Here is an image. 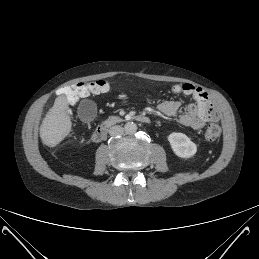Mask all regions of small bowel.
<instances>
[{
  "label": "small bowel",
  "mask_w": 259,
  "mask_h": 259,
  "mask_svg": "<svg viewBox=\"0 0 259 259\" xmlns=\"http://www.w3.org/2000/svg\"><path fill=\"white\" fill-rule=\"evenodd\" d=\"M197 88V87H196ZM196 104H189L185 113L179 117V122L192 129H201L206 122L216 121L218 114L214 109L212 112L208 111L209 100L201 101L198 97H193ZM181 108V103L176 100H165L158 105V110L167 116H174Z\"/></svg>",
  "instance_id": "1"
}]
</instances>
